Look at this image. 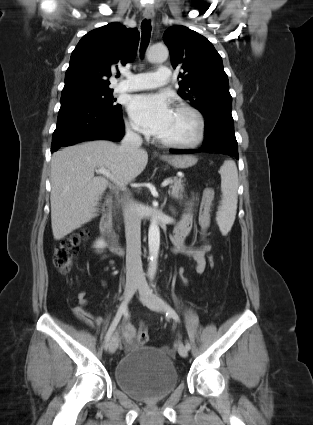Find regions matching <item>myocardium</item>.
<instances>
[{
    "mask_svg": "<svg viewBox=\"0 0 313 425\" xmlns=\"http://www.w3.org/2000/svg\"><path fill=\"white\" fill-rule=\"evenodd\" d=\"M176 111H182L190 114L196 121L197 131L193 139L189 141H168L158 138L160 144L170 148L188 149L197 147L202 143L206 134V120L203 114L195 107L189 104H178L175 107Z\"/></svg>",
    "mask_w": 313,
    "mask_h": 425,
    "instance_id": "obj_1",
    "label": "myocardium"
}]
</instances>
